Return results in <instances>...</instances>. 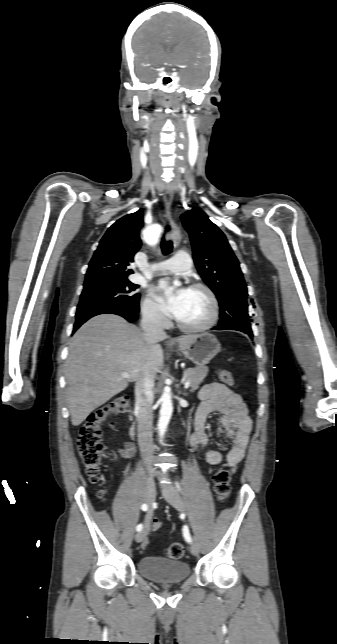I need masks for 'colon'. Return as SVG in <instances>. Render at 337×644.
<instances>
[{
    "instance_id": "5ec220e1",
    "label": "colon",
    "mask_w": 337,
    "mask_h": 644,
    "mask_svg": "<svg viewBox=\"0 0 337 644\" xmlns=\"http://www.w3.org/2000/svg\"><path fill=\"white\" fill-rule=\"evenodd\" d=\"M220 380L228 385H234L231 372L226 368L218 370ZM128 395L122 394L108 404L93 411L80 426L76 439L79 456L85 466L86 473L92 482L100 479L101 459L104 451L102 442V424L110 415L124 414L129 410ZM214 490L221 502H224L231 490V474L226 464H223L213 475ZM168 558L178 560L184 555L181 543H172L166 548Z\"/></svg>"
}]
</instances>
